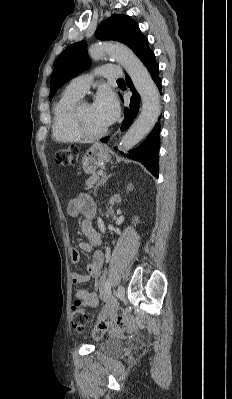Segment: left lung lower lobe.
Listing matches in <instances>:
<instances>
[{"label":"left lung lower lobe","mask_w":232,"mask_h":399,"mask_svg":"<svg viewBox=\"0 0 232 399\" xmlns=\"http://www.w3.org/2000/svg\"><path fill=\"white\" fill-rule=\"evenodd\" d=\"M149 71L153 81L161 91V79L158 71L159 65L155 60L153 51L149 48L148 43L144 45L136 54ZM127 86L132 92L129 108H125L124 120L121 125V131L129 128L134 118L137 116L140 107V95L135 90L133 83L128 75H126ZM160 124L156 123L147 139L134 150H130L125 156L129 159L141 162L153 176L158 177V151L160 147ZM108 137L101 139V142H107ZM116 149V147L114 148ZM123 154V153H121Z\"/></svg>","instance_id":"1"}]
</instances>
